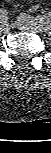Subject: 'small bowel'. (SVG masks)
<instances>
[{"mask_svg": "<svg viewBox=\"0 0 51 153\" xmlns=\"http://www.w3.org/2000/svg\"><path fill=\"white\" fill-rule=\"evenodd\" d=\"M6 2H12L13 0H5ZM39 9V5H33L31 8H30V11H35V10H38Z\"/></svg>", "mask_w": 51, "mask_h": 153, "instance_id": "1", "label": "small bowel"}]
</instances>
